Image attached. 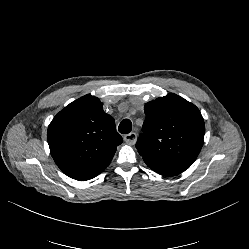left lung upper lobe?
I'll return each mask as SVG.
<instances>
[{"instance_id": "obj_1", "label": "left lung upper lobe", "mask_w": 249, "mask_h": 249, "mask_svg": "<svg viewBox=\"0 0 249 249\" xmlns=\"http://www.w3.org/2000/svg\"><path fill=\"white\" fill-rule=\"evenodd\" d=\"M144 112L136 148L145 163L180 173L188 169L203 145L205 126L199 109L169 93L146 103Z\"/></svg>"}]
</instances>
